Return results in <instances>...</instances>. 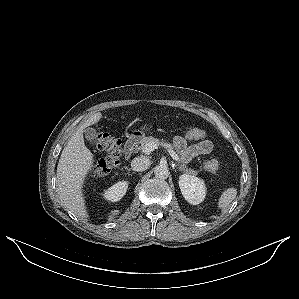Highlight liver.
Masks as SVG:
<instances>
[{
	"label": "liver",
	"mask_w": 299,
	"mask_h": 299,
	"mask_svg": "<svg viewBox=\"0 0 299 299\" xmlns=\"http://www.w3.org/2000/svg\"><path fill=\"white\" fill-rule=\"evenodd\" d=\"M101 118L100 112L95 113L76 130L64 147L57 166V186L62 205L84 220L88 219V213L82 188L85 177L93 169L94 157L85 146L83 132Z\"/></svg>",
	"instance_id": "liver-1"
}]
</instances>
